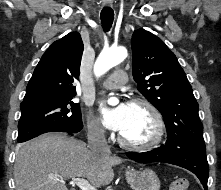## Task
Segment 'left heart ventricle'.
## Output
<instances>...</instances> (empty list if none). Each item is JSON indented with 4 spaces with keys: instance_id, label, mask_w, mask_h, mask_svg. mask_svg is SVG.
Listing matches in <instances>:
<instances>
[{
    "instance_id": "left-heart-ventricle-1",
    "label": "left heart ventricle",
    "mask_w": 221,
    "mask_h": 190,
    "mask_svg": "<svg viewBox=\"0 0 221 190\" xmlns=\"http://www.w3.org/2000/svg\"><path fill=\"white\" fill-rule=\"evenodd\" d=\"M152 131L151 114L144 107L130 105L128 124L120 133L130 141L144 142L151 137Z\"/></svg>"
}]
</instances>
